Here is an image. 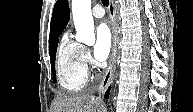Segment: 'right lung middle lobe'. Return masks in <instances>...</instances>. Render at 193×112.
Returning <instances> with one entry per match:
<instances>
[{
  "label": "right lung middle lobe",
  "mask_w": 193,
  "mask_h": 112,
  "mask_svg": "<svg viewBox=\"0 0 193 112\" xmlns=\"http://www.w3.org/2000/svg\"><path fill=\"white\" fill-rule=\"evenodd\" d=\"M58 40L55 42V44L49 49L50 54V62H51V70L55 82V59H56V50H57Z\"/></svg>",
  "instance_id": "dd1d6c3e"
}]
</instances>
